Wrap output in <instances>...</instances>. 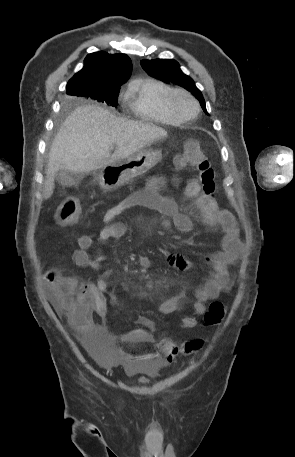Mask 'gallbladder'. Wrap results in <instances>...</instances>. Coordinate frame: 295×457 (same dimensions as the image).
Segmentation results:
<instances>
[{
	"instance_id": "gallbladder-1",
	"label": "gallbladder",
	"mask_w": 295,
	"mask_h": 457,
	"mask_svg": "<svg viewBox=\"0 0 295 457\" xmlns=\"http://www.w3.org/2000/svg\"><path fill=\"white\" fill-rule=\"evenodd\" d=\"M82 175L74 174L70 171L66 170H59L56 175L55 179L61 183L63 186H76L80 183Z\"/></svg>"
}]
</instances>
